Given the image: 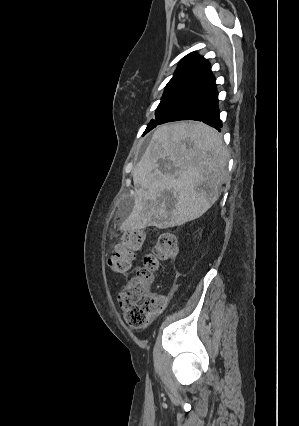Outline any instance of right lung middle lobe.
<instances>
[{
    "label": "right lung middle lobe",
    "instance_id": "dd1d6c3e",
    "mask_svg": "<svg viewBox=\"0 0 299 426\" xmlns=\"http://www.w3.org/2000/svg\"><path fill=\"white\" fill-rule=\"evenodd\" d=\"M195 88L196 87L191 85H167L158 109L156 110L155 119L150 121L145 133L149 132L158 123L169 108Z\"/></svg>",
    "mask_w": 299,
    "mask_h": 426
}]
</instances>
